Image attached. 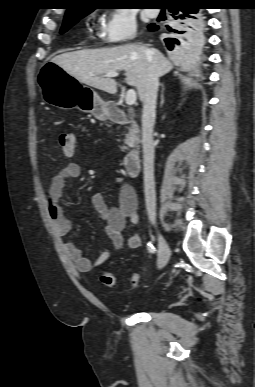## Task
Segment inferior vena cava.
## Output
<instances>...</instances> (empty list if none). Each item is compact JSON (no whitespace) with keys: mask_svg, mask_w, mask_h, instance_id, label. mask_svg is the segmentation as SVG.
<instances>
[{"mask_svg":"<svg viewBox=\"0 0 255 387\" xmlns=\"http://www.w3.org/2000/svg\"><path fill=\"white\" fill-rule=\"evenodd\" d=\"M159 80L152 62L149 63L147 77L142 90L139 92L143 102L142 114V142L144 153V193L148 217L156 219V192L154 181V141L153 127L156 117V101Z\"/></svg>","mask_w":255,"mask_h":387,"instance_id":"602c4592","label":"inferior vena cava"}]
</instances>
